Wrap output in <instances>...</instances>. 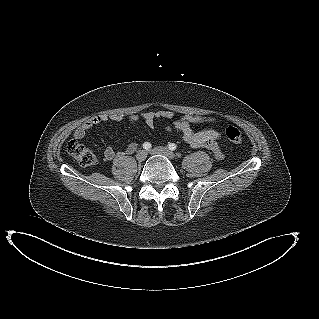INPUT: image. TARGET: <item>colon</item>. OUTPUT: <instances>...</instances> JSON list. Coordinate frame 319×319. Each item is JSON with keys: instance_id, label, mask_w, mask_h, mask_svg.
Masks as SVG:
<instances>
[{"instance_id": "obj_1", "label": "colon", "mask_w": 319, "mask_h": 319, "mask_svg": "<svg viewBox=\"0 0 319 319\" xmlns=\"http://www.w3.org/2000/svg\"><path fill=\"white\" fill-rule=\"evenodd\" d=\"M225 135L227 139L234 144H241L243 142L242 133L233 126H229L226 129ZM67 152L82 166H92L97 161L91 149L75 140L69 141L67 144Z\"/></svg>"}]
</instances>
